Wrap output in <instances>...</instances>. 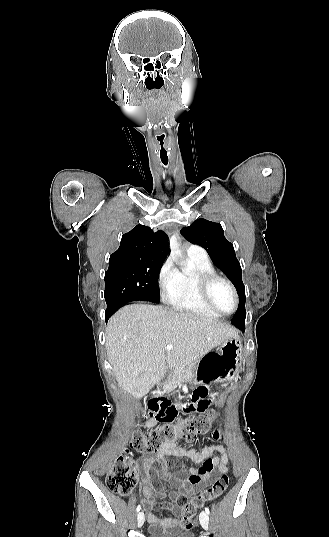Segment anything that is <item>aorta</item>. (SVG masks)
<instances>
[{
    "label": "aorta",
    "instance_id": "1",
    "mask_svg": "<svg viewBox=\"0 0 329 537\" xmlns=\"http://www.w3.org/2000/svg\"><path fill=\"white\" fill-rule=\"evenodd\" d=\"M170 247H171L172 250L178 248V243H177V240H176V238L174 236L170 239Z\"/></svg>",
    "mask_w": 329,
    "mask_h": 537
}]
</instances>
